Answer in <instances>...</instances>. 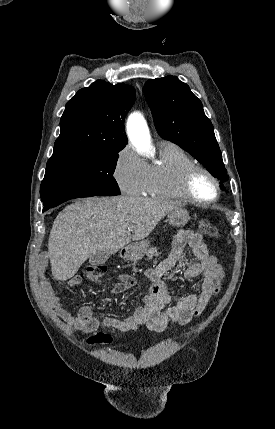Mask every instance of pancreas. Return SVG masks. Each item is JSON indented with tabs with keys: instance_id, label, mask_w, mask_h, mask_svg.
I'll return each mask as SVG.
<instances>
[{
	"instance_id": "pancreas-1",
	"label": "pancreas",
	"mask_w": 275,
	"mask_h": 429,
	"mask_svg": "<svg viewBox=\"0 0 275 429\" xmlns=\"http://www.w3.org/2000/svg\"><path fill=\"white\" fill-rule=\"evenodd\" d=\"M157 255H159V253L157 252V248L156 247L150 248L148 250V253H147L148 259H152L153 256H157Z\"/></svg>"
}]
</instances>
